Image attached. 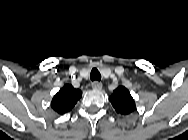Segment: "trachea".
<instances>
[{
  "label": "trachea",
  "instance_id": "1",
  "mask_svg": "<svg viewBox=\"0 0 188 140\" xmlns=\"http://www.w3.org/2000/svg\"><path fill=\"white\" fill-rule=\"evenodd\" d=\"M90 79L92 81H95V80L100 81L101 80V74L96 68L92 69V71L90 73Z\"/></svg>",
  "mask_w": 188,
  "mask_h": 140
}]
</instances>
